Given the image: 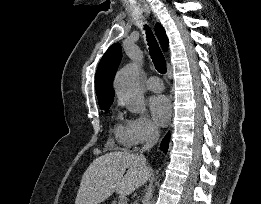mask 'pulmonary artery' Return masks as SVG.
Wrapping results in <instances>:
<instances>
[{"label": "pulmonary artery", "mask_w": 261, "mask_h": 204, "mask_svg": "<svg viewBox=\"0 0 261 204\" xmlns=\"http://www.w3.org/2000/svg\"><path fill=\"white\" fill-rule=\"evenodd\" d=\"M146 87L153 92H161L163 90V83L157 76H152L146 81Z\"/></svg>", "instance_id": "obj_1"}]
</instances>
